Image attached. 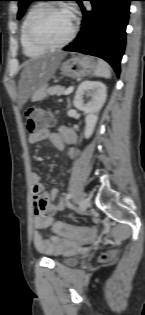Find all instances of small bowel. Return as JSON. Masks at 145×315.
Wrapping results in <instances>:
<instances>
[{
    "instance_id": "c3829d8e",
    "label": "small bowel",
    "mask_w": 145,
    "mask_h": 315,
    "mask_svg": "<svg viewBox=\"0 0 145 315\" xmlns=\"http://www.w3.org/2000/svg\"><path fill=\"white\" fill-rule=\"evenodd\" d=\"M49 138L51 144L58 150H63L66 143L75 141L76 136L66 128H60L55 133H49L47 129L32 133L28 137L30 144H36ZM69 156L75 157L73 149L68 151ZM32 194L34 198V231L33 244L37 251L46 254L75 252L82 244L90 241L91 238L71 239L57 236L46 237L43 229L53 227L58 221L54 215L57 211L63 210L66 206L64 199L53 203L58 195L57 188H51L48 192H43V185L39 173H31Z\"/></svg>"
}]
</instances>
